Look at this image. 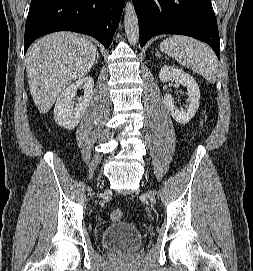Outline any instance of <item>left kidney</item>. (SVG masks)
I'll use <instances>...</instances> for the list:
<instances>
[{
	"label": "left kidney",
	"mask_w": 253,
	"mask_h": 271,
	"mask_svg": "<svg viewBox=\"0 0 253 271\" xmlns=\"http://www.w3.org/2000/svg\"><path fill=\"white\" fill-rule=\"evenodd\" d=\"M159 78L162 82L174 80L187 88L188 104L184 108L178 109L174 105V99L171 94L164 96V104L173 119L180 124H187L196 114L200 104V90L197 82L192 76L182 70L167 65L161 68Z\"/></svg>",
	"instance_id": "obj_1"
}]
</instances>
